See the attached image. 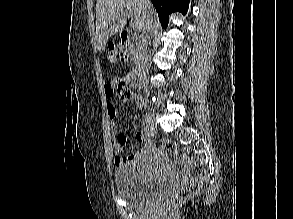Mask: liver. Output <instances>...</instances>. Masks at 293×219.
<instances>
[{
    "instance_id": "liver-1",
    "label": "liver",
    "mask_w": 293,
    "mask_h": 219,
    "mask_svg": "<svg viewBox=\"0 0 293 219\" xmlns=\"http://www.w3.org/2000/svg\"><path fill=\"white\" fill-rule=\"evenodd\" d=\"M149 12L154 18L155 11L151 5L146 9L142 0H97L96 3V42L97 50L104 51L108 39L124 30L127 21L123 13H130L134 18L133 26L141 32L145 25V14Z\"/></svg>"
}]
</instances>
